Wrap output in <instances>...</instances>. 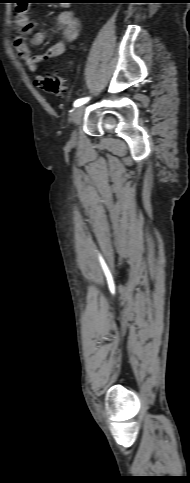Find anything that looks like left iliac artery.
I'll list each match as a JSON object with an SVG mask.
<instances>
[{"label": "left iliac artery", "mask_w": 190, "mask_h": 483, "mask_svg": "<svg viewBox=\"0 0 190 483\" xmlns=\"http://www.w3.org/2000/svg\"><path fill=\"white\" fill-rule=\"evenodd\" d=\"M87 101H89V97H86V98H81V99H77V100L74 102V107L81 106V105L85 104Z\"/></svg>", "instance_id": "obj_1"}]
</instances>
